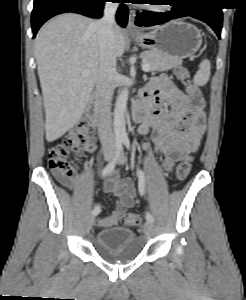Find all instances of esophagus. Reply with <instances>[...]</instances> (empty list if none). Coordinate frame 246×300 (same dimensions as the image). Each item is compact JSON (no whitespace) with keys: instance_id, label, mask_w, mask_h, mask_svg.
<instances>
[{"instance_id":"esophagus-1","label":"esophagus","mask_w":246,"mask_h":300,"mask_svg":"<svg viewBox=\"0 0 246 300\" xmlns=\"http://www.w3.org/2000/svg\"><path fill=\"white\" fill-rule=\"evenodd\" d=\"M127 32L131 34L139 33V29L135 25V11L132 9L129 10Z\"/></svg>"}]
</instances>
